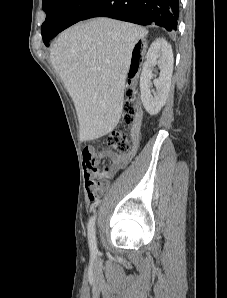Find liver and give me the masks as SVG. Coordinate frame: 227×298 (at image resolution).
<instances>
[{
	"instance_id": "liver-1",
	"label": "liver",
	"mask_w": 227,
	"mask_h": 298,
	"mask_svg": "<svg viewBox=\"0 0 227 298\" xmlns=\"http://www.w3.org/2000/svg\"><path fill=\"white\" fill-rule=\"evenodd\" d=\"M146 34L140 26L100 17L66 29L55 41L50 59L74 102L80 141L117 126L132 51Z\"/></svg>"
}]
</instances>
